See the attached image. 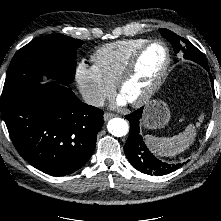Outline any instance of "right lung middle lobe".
Returning <instances> with one entry per match:
<instances>
[{
    "mask_svg": "<svg viewBox=\"0 0 221 221\" xmlns=\"http://www.w3.org/2000/svg\"><path fill=\"white\" fill-rule=\"evenodd\" d=\"M84 42L60 33L35 39L17 51L7 71L3 93L34 90L43 75L68 85L73 82L76 50Z\"/></svg>",
    "mask_w": 221,
    "mask_h": 221,
    "instance_id": "1",
    "label": "right lung middle lobe"
}]
</instances>
